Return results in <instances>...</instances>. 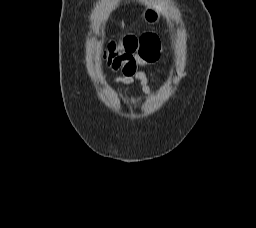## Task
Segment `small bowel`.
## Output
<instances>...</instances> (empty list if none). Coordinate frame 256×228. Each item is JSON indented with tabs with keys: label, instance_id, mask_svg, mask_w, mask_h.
Instances as JSON below:
<instances>
[{
	"label": "small bowel",
	"instance_id": "1",
	"mask_svg": "<svg viewBox=\"0 0 256 228\" xmlns=\"http://www.w3.org/2000/svg\"><path fill=\"white\" fill-rule=\"evenodd\" d=\"M156 60H150L138 53L123 54L114 60L110 67L121 71V75L117 76L115 81L123 84L138 82L142 92L148 95L151 92L148 77L143 71L138 70V67L147 66Z\"/></svg>",
	"mask_w": 256,
	"mask_h": 228
}]
</instances>
